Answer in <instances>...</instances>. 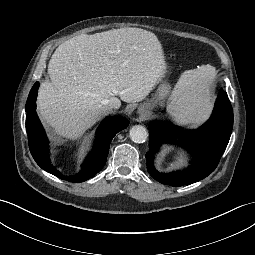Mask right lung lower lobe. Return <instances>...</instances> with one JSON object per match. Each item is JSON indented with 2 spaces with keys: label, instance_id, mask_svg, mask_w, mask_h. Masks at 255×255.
<instances>
[{
  "label": "right lung lower lobe",
  "instance_id": "obj_1",
  "mask_svg": "<svg viewBox=\"0 0 255 255\" xmlns=\"http://www.w3.org/2000/svg\"><path fill=\"white\" fill-rule=\"evenodd\" d=\"M38 87L39 83L36 82L29 93L26 103V131L30 152L34 160L48 173L69 182L80 183L92 178L105 165L111 140L119 131L126 128L129 122L122 117L109 116L105 118L97 130L96 144L93 152L87 156L81 166V170L75 175H63L50 162L49 142L35 111Z\"/></svg>",
  "mask_w": 255,
  "mask_h": 255
}]
</instances>
